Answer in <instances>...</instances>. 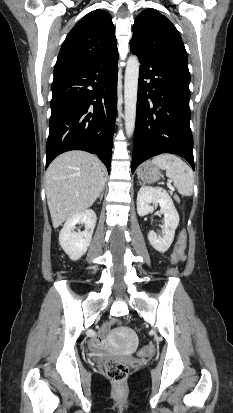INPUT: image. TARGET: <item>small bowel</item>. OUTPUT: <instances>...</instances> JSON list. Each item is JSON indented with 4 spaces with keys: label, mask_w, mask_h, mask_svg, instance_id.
Returning a JSON list of instances; mask_svg holds the SVG:
<instances>
[{
    "label": "small bowel",
    "mask_w": 233,
    "mask_h": 413,
    "mask_svg": "<svg viewBox=\"0 0 233 413\" xmlns=\"http://www.w3.org/2000/svg\"><path fill=\"white\" fill-rule=\"evenodd\" d=\"M183 258H184V250H183L182 253H181V258H180V259H183ZM107 328H108V326L105 325V326L102 328V333H104V332L107 330ZM102 346H103V334H101L100 336L96 337V338L92 341V347H93L94 350L98 351V350H100V349L102 348Z\"/></svg>",
    "instance_id": "c3829d8e"
}]
</instances>
